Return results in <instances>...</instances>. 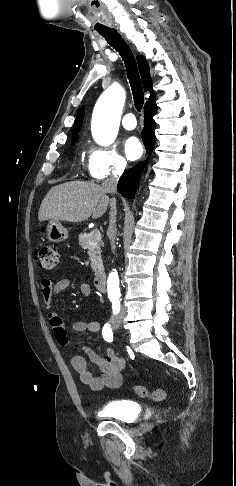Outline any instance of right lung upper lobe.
I'll return each instance as SVG.
<instances>
[{
    "instance_id": "1",
    "label": "right lung upper lobe",
    "mask_w": 236,
    "mask_h": 486,
    "mask_svg": "<svg viewBox=\"0 0 236 486\" xmlns=\"http://www.w3.org/2000/svg\"><path fill=\"white\" fill-rule=\"evenodd\" d=\"M137 62H138L139 71H140V74H141L144 89L148 90L150 92V97H149L148 101L153 100V99H155V93H154V90L152 88V81H151V77H150V70H149L148 63L145 60V58L141 55H139L137 57ZM83 117H84V108L82 107L77 114V117H76V120H75V123H74V126H73L72 138L78 137V132L80 131L82 121H83Z\"/></svg>"
}]
</instances>
